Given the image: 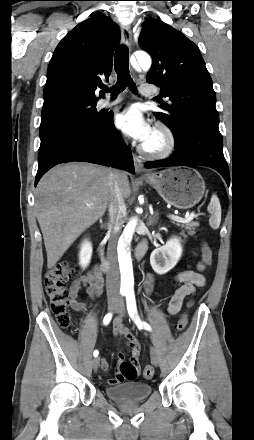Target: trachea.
<instances>
[{"instance_id":"1","label":"trachea","mask_w":254,"mask_h":440,"mask_svg":"<svg viewBox=\"0 0 254 440\" xmlns=\"http://www.w3.org/2000/svg\"><path fill=\"white\" fill-rule=\"evenodd\" d=\"M129 51L126 46H121L115 53L114 68L117 74V83L110 89L103 87L105 92H110L113 98L117 97L126 87H129L132 91H135L134 82L129 73Z\"/></svg>"}]
</instances>
